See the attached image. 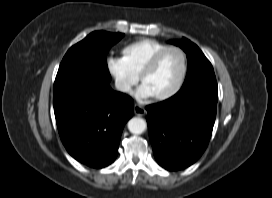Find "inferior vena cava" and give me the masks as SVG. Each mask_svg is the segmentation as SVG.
Returning <instances> with one entry per match:
<instances>
[{
	"mask_svg": "<svg viewBox=\"0 0 272 198\" xmlns=\"http://www.w3.org/2000/svg\"><path fill=\"white\" fill-rule=\"evenodd\" d=\"M115 87L117 90L121 91V92H129L130 91V86L122 81H116L115 82Z\"/></svg>",
	"mask_w": 272,
	"mask_h": 198,
	"instance_id": "obj_1",
	"label": "inferior vena cava"
}]
</instances>
